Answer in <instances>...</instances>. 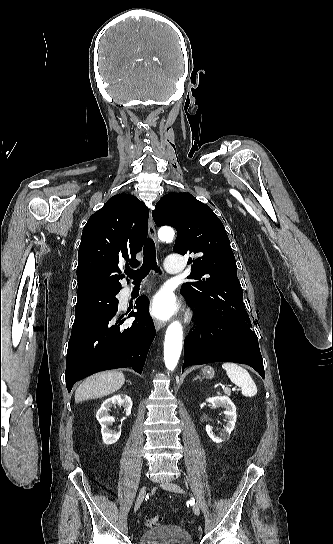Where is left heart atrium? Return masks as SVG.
Masks as SVG:
<instances>
[{
    "instance_id": "1",
    "label": "left heart atrium",
    "mask_w": 333,
    "mask_h": 544,
    "mask_svg": "<svg viewBox=\"0 0 333 544\" xmlns=\"http://www.w3.org/2000/svg\"><path fill=\"white\" fill-rule=\"evenodd\" d=\"M177 309V304L172 293L168 291L159 292L152 301V314L160 319L169 318Z\"/></svg>"
}]
</instances>
